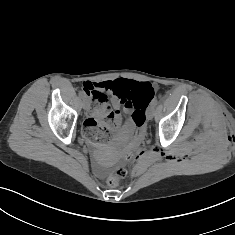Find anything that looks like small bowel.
Here are the masks:
<instances>
[{"label": "small bowel", "instance_id": "c3829d8e", "mask_svg": "<svg viewBox=\"0 0 235 235\" xmlns=\"http://www.w3.org/2000/svg\"><path fill=\"white\" fill-rule=\"evenodd\" d=\"M106 86L108 85L109 87L112 86L113 89H114V85H115V82L114 83H111V82H105ZM112 104H113V107L115 110L119 109L120 107V102L117 100V99H112ZM128 111V109H127ZM118 111H116V113L114 114V122H119V115L117 114Z\"/></svg>", "mask_w": 235, "mask_h": 235}]
</instances>
